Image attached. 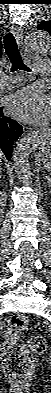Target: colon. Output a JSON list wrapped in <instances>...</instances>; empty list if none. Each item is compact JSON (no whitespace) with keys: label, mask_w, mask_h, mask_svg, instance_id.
Listing matches in <instances>:
<instances>
[{"label":"colon","mask_w":51,"mask_h":393,"mask_svg":"<svg viewBox=\"0 0 51 393\" xmlns=\"http://www.w3.org/2000/svg\"><path fill=\"white\" fill-rule=\"evenodd\" d=\"M27 326L28 320L25 316L13 315L9 319L6 332L8 342L1 348V365L14 381L25 380L34 366L31 352L16 343ZM29 347L33 353L43 354L47 349V342L43 336H33Z\"/></svg>","instance_id":"obj_1"}]
</instances>
